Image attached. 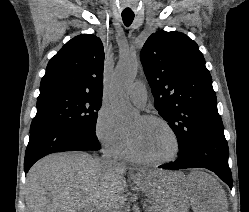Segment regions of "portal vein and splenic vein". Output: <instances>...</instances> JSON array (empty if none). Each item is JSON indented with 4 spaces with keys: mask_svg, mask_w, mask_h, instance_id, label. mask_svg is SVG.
Segmentation results:
<instances>
[{
    "mask_svg": "<svg viewBox=\"0 0 249 212\" xmlns=\"http://www.w3.org/2000/svg\"><path fill=\"white\" fill-rule=\"evenodd\" d=\"M87 212H96V210H94V208H92V206H88Z\"/></svg>",
    "mask_w": 249,
    "mask_h": 212,
    "instance_id": "portal-vein-and-splenic-vein-1",
    "label": "portal vein and splenic vein"
}]
</instances>
